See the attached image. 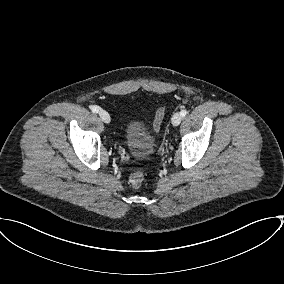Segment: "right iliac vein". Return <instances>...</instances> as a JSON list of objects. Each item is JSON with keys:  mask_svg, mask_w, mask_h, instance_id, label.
I'll return each instance as SVG.
<instances>
[{"mask_svg": "<svg viewBox=\"0 0 284 284\" xmlns=\"http://www.w3.org/2000/svg\"><path fill=\"white\" fill-rule=\"evenodd\" d=\"M99 116L101 120L105 123H109L111 120L110 115L105 110H99Z\"/></svg>", "mask_w": 284, "mask_h": 284, "instance_id": "1", "label": "right iliac vein"}]
</instances>
